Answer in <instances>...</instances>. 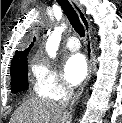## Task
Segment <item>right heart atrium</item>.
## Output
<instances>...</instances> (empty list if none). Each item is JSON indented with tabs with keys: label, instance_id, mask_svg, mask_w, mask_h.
Instances as JSON below:
<instances>
[{
	"label": "right heart atrium",
	"instance_id": "obj_1",
	"mask_svg": "<svg viewBox=\"0 0 122 123\" xmlns=\"http://www.w3.org/2000/svg\"><path fill=\"white\" fill-rule=\"evenodd\" d=\"M34 91L37 95L61 99L70 93L71 88L60 72L46 59L36 58L31 64Z\"/></svg>",
	"mask_w": 122,
	"mask_h": 123
}]
</instances>
